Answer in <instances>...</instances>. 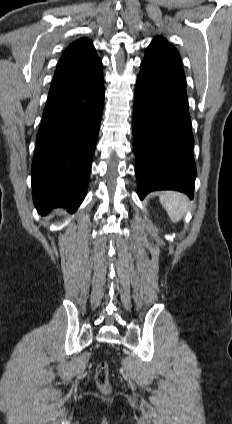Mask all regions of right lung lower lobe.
<instances>
[{"label": "right lung lower lobe", "instance_id": "obj_1", "mask_svg": "<svg viewBox=\"0 0 232 424\" xmlns=\"http://www.w3.org/2000/svg\"><path fill=\"white\" fill-rule=\"evenodd\" d=\"M104 103L103 76L49 93L32 162L38 212H74L85 197Z\"/></svg>", "mask_w": 232, "mask_h": 424}]
</instances>
